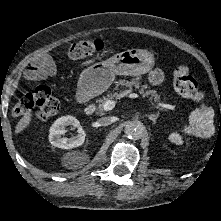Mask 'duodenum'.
Returning <instances> with one entry per match:
<instances>
[{"label":"duodenum","instance_id":"duodenum-1","mask_svg":"<svg viewBox=\"0 0 221 221\" xmlns=\"http://www.w3.org/2000/svg\"><path fill=\"white\" fill-rule=\"evenodd\" d=\"M81 100H84L85 97L80 96ZM95 111V105L94 104H88L87 106H85L84 108V113L86 115H92Z\"/></svg>","mask_w":221,"mask_h":221}]
</instances>
